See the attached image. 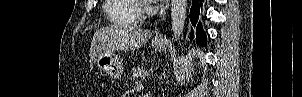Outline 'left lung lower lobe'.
Wrapping results in <instances>:
<instances>
[{
    "mask_svg": "<svg viewBox=\"0 0 302 97\" xmlns=\"http://www.w3.org/2000/svg\"><path fill=\"white\" fill-rule=\"evenodd\" d=\"M202 2H203V0H192V7L190 9V20L194 26L196 25V21L198 20ZM196 41L201 46H206V34L202 30L201 23H198L197 28H196Z\"/></svg>",
    "mask_w": 302,
    "mask_h": 97,
    "instance_id": "left-lung-lower-lobe-1",
    "label": "left lung lower lobe"
}]
</instances>
